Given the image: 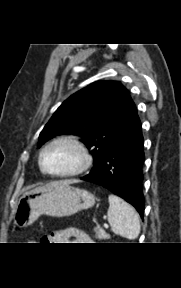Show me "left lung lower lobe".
I'll return each mask as SVG.
<instances>
[{
    "label": "left lung lower lobe",
    "mask_w": 181,
    "mask_h": 288,
    "mask_svg": "<svg viewBox=\"0 0 181 288\" xmlns=\"http://www.w3.org/2000/svg\"><path fill=\"white\" fill-rule=\"evenodd\" d=\"M141 123L133 103L124 128L99 165L82 180L96 183L120 196L144 216L142 167L145 160Z\"/></svg>",
    "instance_id": "obj_1"
}]
</instances>
